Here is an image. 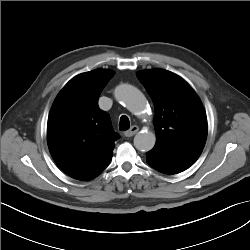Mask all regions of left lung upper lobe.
Here are the masks:
<instances>
[{
  "mask_svg": "<svg viewBox=\"0 0 250 250\" xmlns=\"http://www.w3.org/2000/svg\"><path fill=\"white\" fill-rule=\"evenodd\" d=\"M137 77L155 106L153 150L199 157L207 138V117L191 86L164 69L143 70Z\"/></svg>",
  "mask_w": 250,
  "mask_h": 250,
  "instance_id": "obj_1",
  "label": "left lung upper lobe"
}]
</instances>
